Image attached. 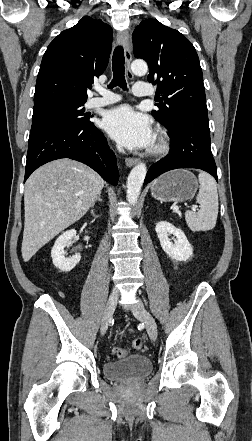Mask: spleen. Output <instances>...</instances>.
<instances>
[{"label": "spleen", "instance_id": "1", "mask_svg": "<svg viewBox=\"0 0 252 441\" xmlns=\"http://www.w3.org/2000/svg\"><path fill=\"white\" fill-rule=\"evenodd\" d=\"M199 193L196 201L201 205L198 212L186 211L185 220L193 232L212 230L216 225L218 216V193L214 178L205 172H200Z\"/></svg>", "mask_w": 252, "mask_h": 441}]
</instances>
